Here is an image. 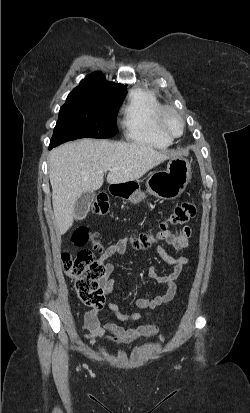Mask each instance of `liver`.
Instances as JSON below:
<instances>
[{
    "label": "liver",
    "mask_w": 250,
    "mask_h": 413,
    "mask_svg": "<svg viewBox=\"0 0 250 413\" xmlns=\"http://www.w3.org/2000/svg\"><path fill=\"white\" fill-rule=\"evenodd\" d=\"M176 155L175 151H160L144 144L90 138L54 148L49 158V179L59 234H65L73 225L77 199L85 192L101 188L105 169H111L107 182L120 184L138 180Z\"/></svg>",
    "instance_id": "6515ba94"
}]
</instances>
